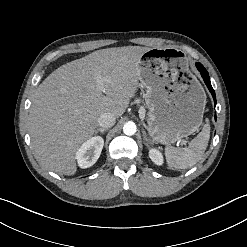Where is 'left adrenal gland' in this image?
<instances>
[{"instance_id": "obj_1", "label": "left adrenal gland", "mask_w": 247, "mask_h": 247, "mask_svg": "<svg viewBox=\"0 0 247 247\" xmlns=\"http://www.w3.org/2000/svg\"><path fill=\"white\" fill-rule=\"evenodd\" d=\"M143 140L145 142V145L148 146L149 140H148L147 135H146V132L144 130H143Z\"/></svg>"}]
</instances>
